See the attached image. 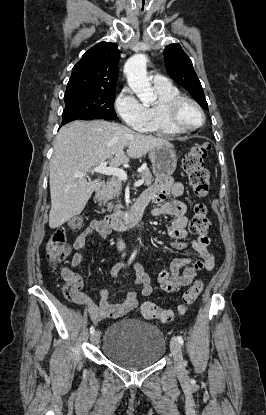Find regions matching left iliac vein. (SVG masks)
I'll return each mask as SVG.
<instances>
[{
	"mask_svg": "<svg viewBox=\"0 0 266 415\" xmlns=\"http://www.w3.org/2000/svg\"><path fill=\"white\" fill-rule=\"evenodd\" d=\"M170 349H171V353H172L173 358H174L176 371L179 374H183L185 368H184V360H183L182 350H181V346H180L179 342L175 339H171Z\"/></svg>",
	"mask_w": 266,
	"mask_h": 415,
	"instance_id": "left-iliac-vein-1",
	"label": "left iliac vein"
}]
</instances>
